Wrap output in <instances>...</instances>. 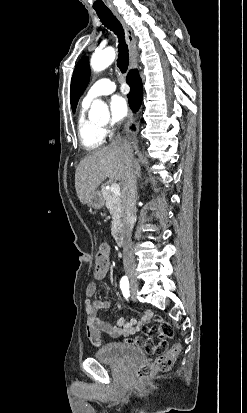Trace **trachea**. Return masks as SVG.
<instances>
[{"label":"trachea","instance_id":"1","mask_svg":"<svg viewBox=\"0 0 247 413\" xmlns=\"http://www.w3.org/2000/svg\"><path fill=\"white\" fill-rule=\"evenodd\" d=\"M97 15L100 18V21L103 25L109 30H112L118 38H119V54L117 59V66L121 70L122 73H125L128 64H129V56H128V47L124 41V30L119 20L113 15L112 12L108 11H97Z\"/></svg>","mask_w":247,"mask_h":413}]
</instances>
